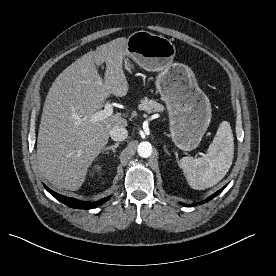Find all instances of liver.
<instances>
[{
	"mask_svg": "<svg viewBox=\"0 0 276 276\" xmlns=\"http://www.w3.org/2000/svg\"><path fill=\"white\" fill-rule=\"evenodd\" d=\"M127 38H116L69 65L50 87L43 107L37 161L45 179L58 188L76 191L108 143L115 126H127L121 113L90 122L110 94L123 97L128 82L122 65ZM106 63L104 81L97 66Z\"/></svg>",
	"mask_w": 276,
	"mask_h": 276,
	"instance_id": "1",
	"label": "liver"
}]
</instances>
